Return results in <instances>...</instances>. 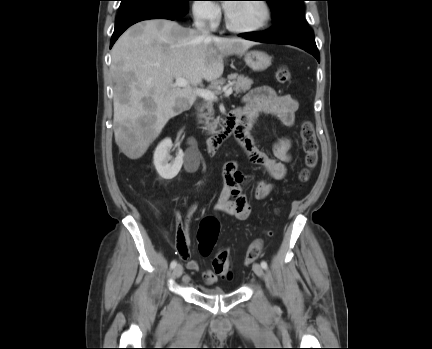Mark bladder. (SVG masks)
Wrapping results in <instances>:
<instances>
[{
    "mask_svg": "<svg viewBox=\"0 0 432 349\" xmlns=\"http://www.w3.org/2000/svg\"><path fill=\"white\" fill-rule=\"evenodd\" d=\"M201 291L208 295H223L225 293L223 289L218 287L216 288L203 287Z\"/></svg>",
    "mask_w": 432,
    "mask_h": 349,
    "instance_id": "31cf9c89",
    "label": "bladder"
}]
</instances>
